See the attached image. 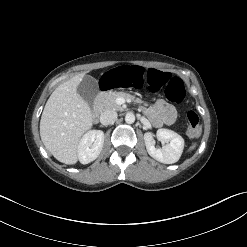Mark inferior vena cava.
Segmentation results:
<instances>
[{
  "instance_id": "1",
  "label": "inferior vena cava",
  "mask_w": 247,
  "mask_h": 247,
  "mask_svg": "<svg viewBox=\"0 0 247 247\" xmlns=\"http://www.w3.org/2000/svg\"><path fill=\"white\" fill-rule=\"evenodd\" d=\"M117 113L113 110H106L100 116V122L103 125H109L115 122Z\"/></svg>"
}]
</instances>
